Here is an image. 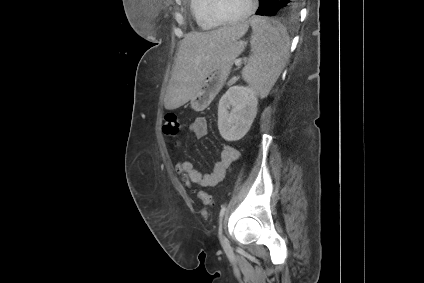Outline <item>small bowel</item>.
Wrapping results in <instances>:
<instances>
[{
  "mask_svg": "<svg viewBox=\"0 0 424 283\" xmlns=\"http://www.w3.org/2000/svg\"><path fill=\"white\" fill-rule=\"evenodd\" d=\"M190 131L197 138H202L208 133V123L206 118H196L189 127ZM239 151L231 146L225 145L220 153V159L214 164L211 172L202 173L190 161H181L176 164L175 170L187 186L199 185L202 187H214L221 182L227 169L239 159Z\"/></svg>",
  "mask_w": 424,
  "mask_h": 283,
  "instance_id": "obj_1",
  "label": "small bowel"
}]
</instances>
